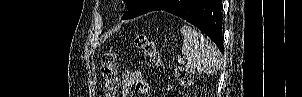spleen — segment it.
I'll return each mask as SVG.
<instances>
[{"label": "spleen", "instance_id": "spleen-1", "mask_svg": "<svg viewBox=\"0 0 302 97\" xmlns=\"http://www.w3.org/2000/svg\"><path fill=\"white\" fill-rule=\"evenodd\" d=\"M184 36L182 55L187 60L185 71L193 74H211L221 65L220 53L205 37L190 26L180 29Z\"/></svg>", "mask_w": 302, "mask_h": 97}]
</instances>
